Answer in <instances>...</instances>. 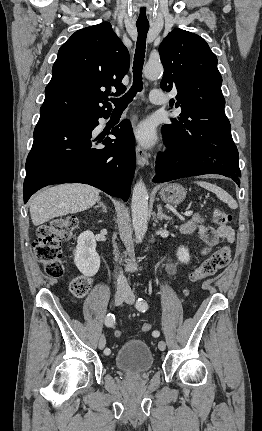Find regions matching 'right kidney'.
Segmentation results:
<instances>
[{"instance_id": "ca27d5eb", "label": "right kidney", "mask_w": 262, "mask_h": 431, "mask_svg": "<svg viewBox=\"0 0 262 431\" xmlns=\"http://www.w3.org/2000/svg\"><path fill=\"white\" fill-rule=\"evenodd\" d=\"M74 263L85 276H94L100 267V257L96 252V241L91 231L81 233L74 251Z\"/></svg>"}]
</instances>
